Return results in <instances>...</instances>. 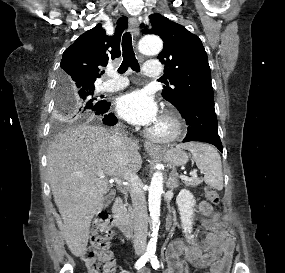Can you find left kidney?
I'll return each instance as SVG.
<instances>
[{
  "label": "left kidney",
  "mask_w": 285,
  "mask_h": 273,
  "mask_svg": "<svg viewBox=\"0 0 285 273\" xmlns=\"http://www.w3.org/2000/svg\"><path fill=\"white\" fill-rule=\"evenodd\" d=\"M176 203L179 208L180 219L184 232L186 234H190L192 232V218L194 216V196L187 190H181L176 198Z\"/></svg>",
  "instance_id": "5707ae66"
}]
</instances>
